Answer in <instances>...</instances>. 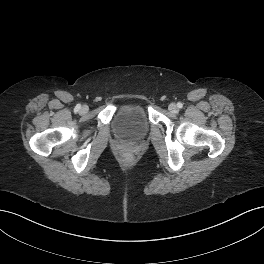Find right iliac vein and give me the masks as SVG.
I'll use <instances>...</instances> for the list:
<instances>
[{
	"label": "right iliac vein",
	"instance_id": "right-iliac-vein-1",
	"mask_svg": "<svg viewBox=\"0 0 264 264\" xmlns=\"http://www.w3.org/2000/svg\"><path fill=\"white\" fill-rule=\"evenodd\" d=\"M88 111V107L87 106H83L82 108H81V112L82 113H86Z\"/></svg>",
	"mask_w": 264,
	"mask_h": 264
}]
</instances>
